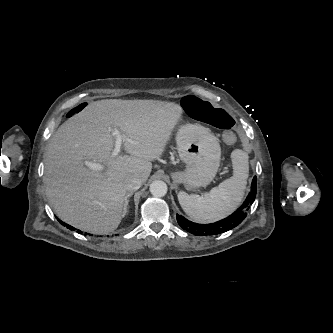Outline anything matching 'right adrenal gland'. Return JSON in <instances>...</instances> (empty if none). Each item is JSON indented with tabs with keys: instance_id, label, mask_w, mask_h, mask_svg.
<instances>
[{
	"instance_id": "1",
	"label": "right adrenal gland",
	"mask_w": 333,
	"mask_h": 333,
	"mask_svg": "<svg viewBox=\"0 0 333 333\" xmlns=\"http://www.w3.org/2000/svg\"><path fill=\"white\" fill-rule=\"evenodd\" d=\"M133 195V193H128L125 198H124V208H123V213L124 216L126 215L128 211V203H129V198Z\"/></svg>"
}]
</instances>
